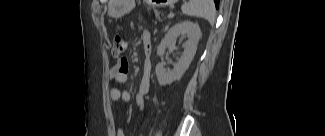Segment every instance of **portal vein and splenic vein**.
<instances>
[{
	"label": "portal vein and splenic vein",
	"instance_id": "portal-vein-and-splenic-vein-1",
	"mask_svg": "<svg viewBox=\"0 0 325 136\" xmlns=\"http://www.w3.org/2000/svg\"><path fill=\"white\" fill-rule=\"evenodd\" d=\"M173 16L174 14L172 12L168 14V17H173Z\"/></svg>",
	"mask_w": 325,
	"mask_h": 136
}]
</instances>
